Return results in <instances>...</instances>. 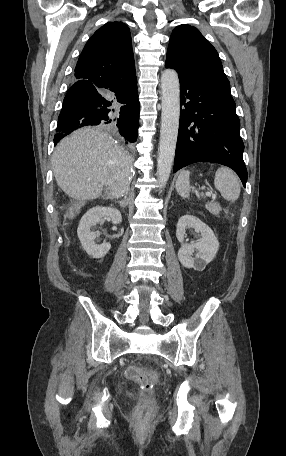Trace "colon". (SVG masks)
I'll return each mask as SVG.
<instances>
[{
  "label": "colon",
  "instance_id": "colon-1",
  "mask_svg": "<svg viewBox=\"0 0 286 456\" xmlns=\"http://www.w3.org/2000/svg\"><path fill=\"white\" fill-rule=\"evenodd\" d=\"M126 376L130 380L137 382L141 387L140 403L136 413L144 415L154 403L153 387L158 380V376L154 371H147L135 365H130L126 368Z\"/></svg>",
  "mask_w": 286,
  "mask_h": 456
}]
</instances>
